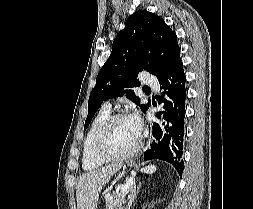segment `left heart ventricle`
I'll return each instance as SVG.
<instances>
[{
	"label": "left heart ventricle",
	"mask_w": 253,
	"mask_h": 209,
	"mask_svg": "<svg viewBox=\"0 0 253 209\" xmlns=\"http://www.w3.org/2000/svg\"><path fill=\"white\" fill-rule=\"evenodd\" d=\"M138 132L129 118L116 121L110 128L105 150L112 155H121L129 152L136 144Z\"/></svg>",
	"instance_id": "1"
}]
</instances>
